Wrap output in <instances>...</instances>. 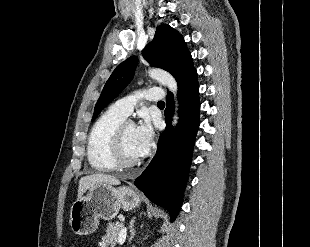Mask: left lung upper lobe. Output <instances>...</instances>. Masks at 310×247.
<instances>
[{
    "label": "left lung upper lobe",
    "instance_id": "5c2ea615",
    "mask_svg": "<svg viewBox=\"0 0 310 247\" xmlns=\"http://www.w3.org/2000/svg\"><path fill=\"white\" fill-rule=\"evenodd\" d=\"M143 56L152 66L171 73L178 84L195 69L183 36L167 24L157 27L153 41L143 50ZM137 63V57L132 56L115 68L95 105L92 120L130 83Z\"/></svg>",
    "mask_w": 310,
    "mask_h": 247
}]
</instances>
